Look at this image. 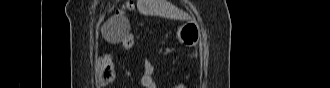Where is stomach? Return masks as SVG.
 <instances>
[{
	"label": "stomach",
	"instance_id": "0dacf381",
	"mask_svg": "<svg viewBox=\"0 0 330 88\" xmlns=\"http://www.w3.org/2000/svg\"><path fill=\"white\" fill-rule=\"evenodd\" d=\"M178 40L185 46L192 47L201 39L200 27L197 23L189 21L178 27Z\"/></svg>",
	"mask_w": 330,
	"mask_h": 88
}]
</instances>
